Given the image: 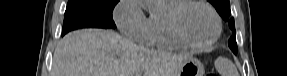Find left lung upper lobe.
Masks as SVG:
<instances>
[{"instance_id": "1", "label": "left lung upper lobe", "mask_w": 287, "mask_h": 76, "mask_svg": "<svg viewBox=\"0 0 287 76\" xmlns=\"http://www.w3.org/2000/svg\"><path fill=\"white\" fill-rule=\"evenodd\" d=\"M220 14V16L229 23L230 29L235 33L234 18L231 17L230 3L229 0H208ZM229 47L236 54L237 43L235 34H233L229 40Z\"/></svg>"}]
</instances>
